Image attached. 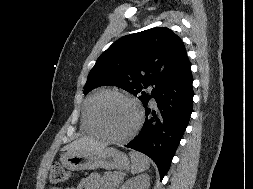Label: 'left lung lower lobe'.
I'll return each mask as SVG.
<instances>
[{"label":"left lung lower lobe","mask_w":253,"mask_h":189,"mask_svg":"<svg viewBox=\"0 0 253 189\" xmlns=\"http://www.w3.org/2000/svg\"><path fill=\"white\" fill-rule=\"evenodd\" d=\"M192 82L190 62L186 58L179 71L144 105V126L139 135L125 145L148 155L156 163L161 179L189 123L194 96ZM153 102L155 107L151 109Z\"/></svg>","instance_id":"1"}]
</instances>
